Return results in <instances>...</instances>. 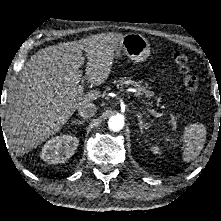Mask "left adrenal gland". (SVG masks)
Listing matches in <instances>:
<instances>
[{
    "label": "left adrenal gland",
    "mask_w": 221,
    "mask_h": 221,
    "mask_svg": "<svg viewBox=\"0 0 221 221\" xmlns=\"http://www.w3.org/2000/svg\"><path fill=\"white\" fill-rule=\"evenodd\" d=\"M137 117H138V121H139L140 132L143 133V130L148 129V127L143 123L141 116L139 114H137Z\"/></svg>",
    "instance_id": "a2214340"
}]
</instances>
